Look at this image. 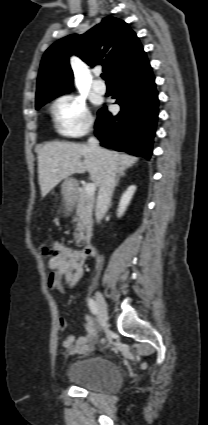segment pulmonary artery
Segmentation results:
<instances>
[{"label":"pulmonary artery","mask_w":208,"mask_h":425,"mask_svg":"<svg viewBox=\"0 0 208 425\" xmlns=\"http://www.w3.org/2000/svg\"><path fill=\"white\" fill-rule=\"evenodd\" d=\"M93 89L99 94H104L107 91V87L102 81H95L93 84Z\"/></svg>","instance_id":"pulmonary-artery-1"}]
</instances>
